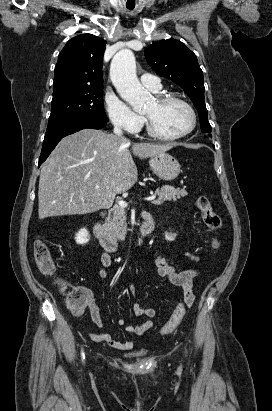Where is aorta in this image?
Masks as SVG:
<instances>
[{"label":"aorta","mask_w":272,"mask_h":411,"mask_svg":"<svg viewBox=\"0 0 272 411\" xmlns=\"http://www.w3.org/2000/svg\"><path fill=\"white\" fill-rule=\"evenodd\" d=\"M110 77L123 100L138 110L149 99L136 76L135 57L131 50L123 49L115 54L110 65Z\"/></svg>","instance_id":"aorta-1"}]
</instances>
